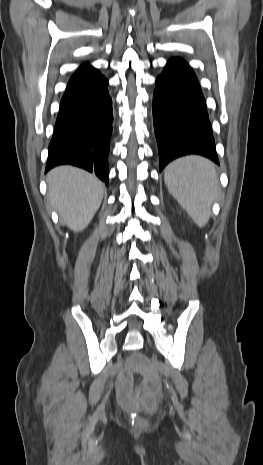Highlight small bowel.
<instances>
[{
    "label": "small bowel",
    "instance_id": "small-bowel-1",
    "mask_svg": "<svg viewBox=\"0 0 263 465\" xmlns=\"http://www.w3.org/2000/svg\"><path fill=\"white\" fill-rule=\"evenodd\" d=\"M137 368V363L132 361L124 368L119 376L117 391L120 400L129 404L133 401L132 371Z\"/></svg>",
    "mask_w": 263,
    "mask_h": 465
}]
</instances>
